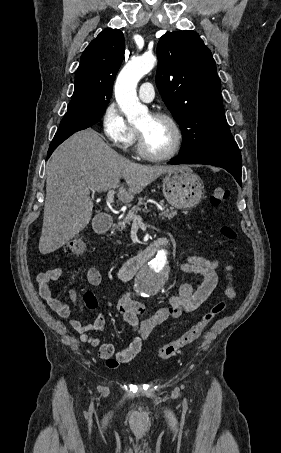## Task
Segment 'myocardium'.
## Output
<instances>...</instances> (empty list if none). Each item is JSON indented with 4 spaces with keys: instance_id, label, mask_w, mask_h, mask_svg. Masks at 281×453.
I'll use <instances>...</instances> for the list:
<instances>
[{
    "instance_id": "f54148a6",
    "label": "myocardium",
    "mask_w": 281,
    "mask_h": 453,
    "mask_svg": "<svg viewBox=\"0 0 281 453\" xmlns=\"http://www.w3.org/2000/svg\"><path fill=\"white\" fill-rule=\"evenodd\" d=\"M149 116L153 120L164 121L170 125V127L172 128L173 133H174L173 144H172L170 150L165 154L152 153L145 146V140H144V135H143L142 131L139 128H137V151L140 156H142L148 160H152V161L169 160L176 155V153L178 152L179 147L181 145V142H182V131L180 129V126L178 125V123L176 122V120L174 118H172L171 116H169L165 113L154 112V113H150Z\"/></svg>"
}]
</instances>
